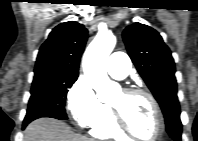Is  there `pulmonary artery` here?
I'll use <instances>...</instances> for the list:
<instances>
[{
  "mask_svg": "<svg viewBox=\"0 0 198 141\" xmlns=\"http://www.w3.org/2000/svg\"><path fill=\"white\" fill-rule=\"evenodd\" d=\"M106 67L112 77L123 79L129 74L131 63L125 53L114 52L109 56Z\"/></svg>",
  "mask_w": 198,
  "mask_h": 141,
  "instance_id": "1",
  "label": "pulmonary artery"
}]
</instances>
